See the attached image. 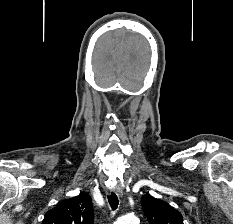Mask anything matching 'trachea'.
<instances>
[{"mask_svg":"<svg viewBox=\"0 0 233 224\" xmlns=\"http://www.w3.org/2000/svg\"><path fill=\"white\" fill-rule=\"evenodd\" d=\"M108 201L112 210H116L119 204L117 195L112 192L111 195L108 197Z\"/></svg>","mask_w":233,"mask_h":224,"instance_id":"obj_1","label":"trachea"}]
</instances>
